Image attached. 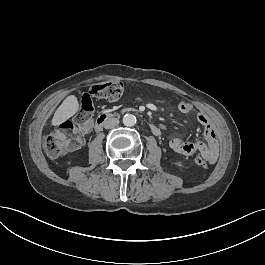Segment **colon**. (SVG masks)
<instances>
[{
  "mask_svg": "<svg viewBox=\"0 0 265 265\" xmlns=\"http://www.w3.org/2000/svg\"><path fill=\"white\" fill-rule=\"evenodd\" d=\"M124 93V85L120 81H109L96 83L89 89L81 102L80 111L74 116L72 121H66L60 126L52 129L44 137V149L48 156L57 157L68 150L71 145H77L80 135L75 130V126L84 127L91 122L90 113L95 109L93 98L118 100ZM195 163L200 167H205L204 156L197 155Z\"/></svg>",
  "mask_w": 265,
  "mask_h": 265,
  "instance_id": "colon-1",
  "label": "colon"
}]
</instances>
